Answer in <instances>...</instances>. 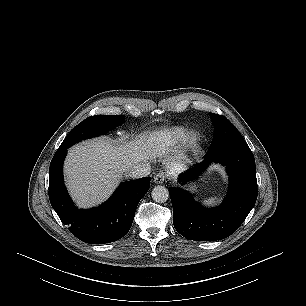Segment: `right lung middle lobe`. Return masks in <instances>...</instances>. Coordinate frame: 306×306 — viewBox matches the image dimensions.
<instances>
[{
    "label": "right lung middle lobe",
    "instance_id": "1",
    "mask_svg": "<svg viewBox=\"0 0 306 306\" xmlns=\"http://www.w3.org/2000/svg\"><path fill=\"white\" fill-rule=\"evenodd\" d=\"M124 116H91L79 123L64 139L57 151L68 149L73 144L87 138L99 136L121 125Z\"/></svg>",
    "mask_w": 306,
    "mask_h": 306
}]
</instances>
